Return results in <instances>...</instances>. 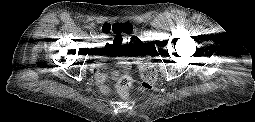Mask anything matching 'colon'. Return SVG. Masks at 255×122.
<instances>
[{
  "label": "colon",
  "mask_w": 255,
  "mask_h": 122,
  "mask_svg": "<svg viewBox=\"0 0 255 122\" xmlns=\"http://www.w3.org/2000/svg\"><path fill=\"white\" fill-rule=\"evenodd\" d=\"M105 34H125L130 38V44H134L138 41V38L136 36H132L134 32V27L129 24L125 23L123 25L121 24H105L103 27ZM141 75H142V84H141V90L144 92H149L153 90L156 84L157 80V71L155 66L148 61L142 62L141 65ZM114 80H115V87L116 90L122 94L126 95L131 90V88L135 84V78L130 73H123V72H116L114 74Z\"/></svg>",
  "instance_id": "5ec220e1"
}]
</instances>
